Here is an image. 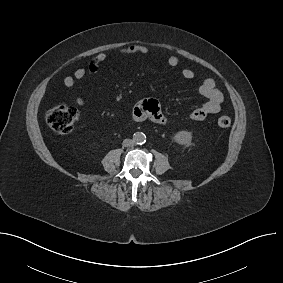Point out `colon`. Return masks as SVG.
Instances as JSON below:
<instances>
[{
    "mask_svg": "<svg viewBox=\"0 0 283 283\" xmlns=\"http://www.w3.org/2000/svg\"><path fill=\"white\" fill-rule=\"evenodd\" d=\"M78 119V112L74 107L67 105H58L49 109L46 113L48 125L58 134L70 133ZM217 124L221 128H227L231 125V118L222 115L218 118Z\"/></svg>",
    "mask_w": 283,
    "mask_h": 283,
    "instance_id": "5ec220e1",
    "label": "colon"
}]
</instances>
